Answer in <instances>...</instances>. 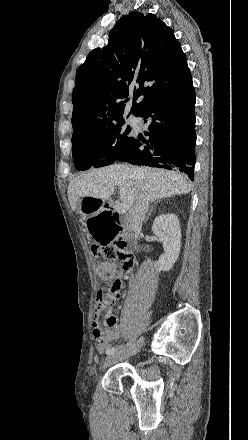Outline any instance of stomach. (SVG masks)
<instances>
[{"label":"stomach","instance_id":"obj_1","mask_svg":"<svg viewBox=\"0 0 248 440\" xmlns=\"http://www.w3.org/2000/svg\"><path fill=\"white\" fill-rule=\"evenodd\" d=\"M103 201L85 197L78 202L79 218H87V235L90 246H109L115 241L117 230L110 209H102Z\"/></svg>","mask_w":248,"mask_h":440}]
</instances>
